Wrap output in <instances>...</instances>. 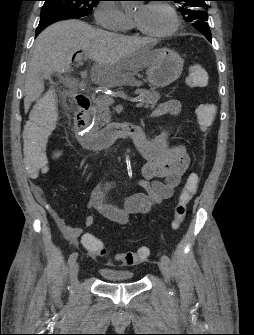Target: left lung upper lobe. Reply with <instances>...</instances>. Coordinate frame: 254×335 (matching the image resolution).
Masks as SVG:
<instances>
[{"mask_svg":"<svg viewBox=\"0 0 254 335\" xmlns=\"http://www.w3.org/2000/svg\"><path fill=\"white\" fill-rule=\"evenodd\" d=\"M178 2L181 6L178 11L183 15L184 20L192 22V25L202 32L206 38H211L210 28L208 23V13L206 9L208 5L207 0H173Z\"/></svg>","mask_w":254,"mask_h":335,"instance_id":"left-lung-upper-lobe-1","label":"left lung upper lobe"}]
</instances>
